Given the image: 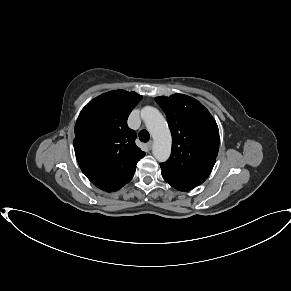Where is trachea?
Returning a JSON list of instances; mask_svg holds the SVG:
<instances>
[{
    "mask_svg": "<svg viewBox=\"0 0 291 291\" xmlns=\"http://www.w3.org/2000/svg\"><path fill=\"white\" fill-rule=\"evenodd\" d=\"M139 139L142 141V142H148L149 139H150V135L148 133V131L146 130H142L139 132Z\"/></svg>",
    "mask_w": 291,
    "mask_h": 291,
    "instance_id": "trachea-1",
    "label": "trachea"
}]
</instances>
